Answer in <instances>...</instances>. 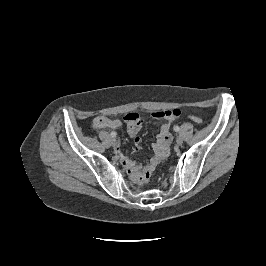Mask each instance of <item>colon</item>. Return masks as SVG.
I'll list each match as a JSON object with an SVG mask.
<instances>
[{
    "instance_id": "5ec220e1",
    "label": "colon",
    "mask_w": 266,
    "mask_h": 266,
    "mask_svg": "<svg viewBox=\"0 0 266 266\" xmlns=\"http://www.w3.org/2000/svg\"><path fill=\"white\" fill-rule=\"evenodd\" d=\"M189 118H190L193 122H195V123H197V124H201V123L203 122V120H202L199 116H196V115H191V116H189Z\"/></svg>"
}]
</instances>
